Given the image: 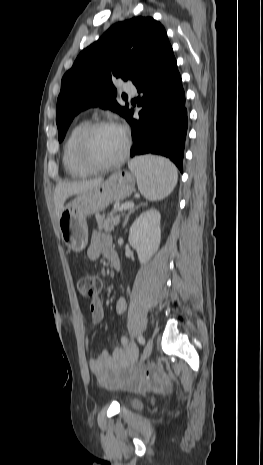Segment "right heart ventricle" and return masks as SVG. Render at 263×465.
Listing matches in <instances>:
<instances>
[{"label": "right heart ventricle", "mask_w": 263, "mask_h": 465, "mask_svg": "<svg viewBox=\"0 0 263 465\" xmlns=\"http://www.w3.org/2000/svg\"><path fill=\"white\" fill-rule=\"evenodd\" d=\"M87 121L77 122L68 133L64 145L62 161L68 175L73 178H83L88 176L91 171L81 165L76 154V143L81 130L87 125Z\"/></svg>", "instance_id": "obj_1"}]
</instances>
